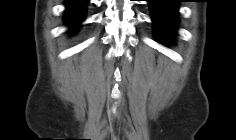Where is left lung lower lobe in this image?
I'll use <instances>...</instances> for the list:
<instances>
[{"label":"left lung lower lobe","mask_w":236,"mask_h":140,"mask_svg":"<svg viewBox=\"0 0 236 140\" xmlns=\"http://www.w3.org/2000/svg\"><path fill=\"white\" fill-rule=\"evenodd\" d=\"M154 31L158 39L169 40L178 22V5L181 0H148Z\"/></svg>","instance_id":"1"}]
</instances>
